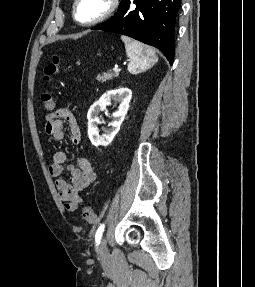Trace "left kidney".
Returning <instances> with one entry per match:
<instances>
[{
	"label": "left kidney",
	"mask_w": 255,
	"mask_h": 287,
	"mask_svg": "<svg viewBox=\"0 0 255 287\" xmlns=\"http://www.w3.org/2000/svg\"><path fill=\"white\" fill-rule=\"evenodd\" d=\"M132 92L128 88H118V90H109L105 92L98 102H95L88 110V136L91 144L93 145H109L112 142L114 136L118 134L120 126L128 112L129 104L131 102ZM111 100L118 102L119 106L112 114L113 122H111V130H108L106 134H99L98 124H102L99 114L105 112L106 106H109Z\"/></svg>",
	"instance_id": "1"
}]
</instances>
